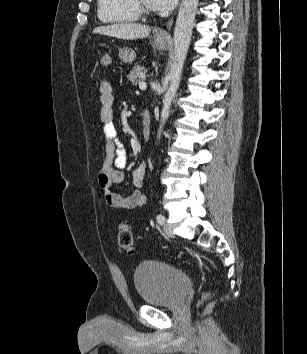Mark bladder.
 Instances as JSON below:
<instances>
[{
    "mask_svg": "<svg viewBox=\"0 0 307 354\" xmlns=\"http://www.w3.org/2000/svg\"><path fill=\"white\" fill-rule=\"evenodd\" d=\"M133 280L142 301L155 306H178L191 286L184 271L156 260L138 264Z\"/></svg>",
    "mask_w": 307,
    "mask_h": 354,
    "instance_id": "1",
    "label": "bladder"
}]
</instances>
